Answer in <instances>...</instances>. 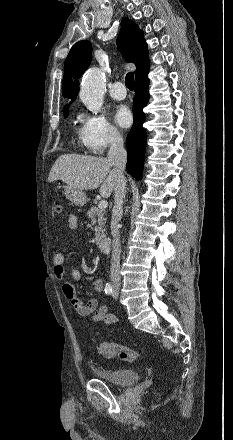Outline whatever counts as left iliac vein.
I'll return each mask as SVG.
<instances>
[{
    "label": "left iliac vein",
    "instance_id": "obj_1",
    "mask_svg": "<svg viewBox=\"0 0 233 440\" xmlns=\"http://www.w3.org/2000/svg\"><path fill=\"white\" fill-rule=\"evenodd\" d=\"M118 289H114V291H113V293H112V296H113V298L114 299H117L118 298Z\"/></svg>",
    "mask_w": 233,
    "mask_h": 440
}]
</instances>
